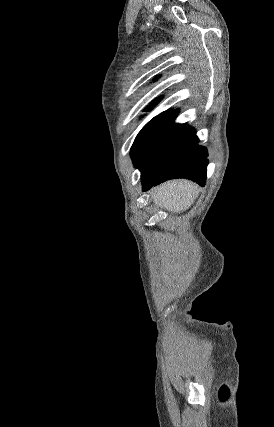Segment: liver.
Instances as JSON below:
<instances>
[{
  "label": "liver",
  "mask_w": 274,
  "mask_h": 427,
  "mask_svg": "<svg viewBox=\"0 0 274 427\" xmlns=\"http://www.w3.org/2000/svg\"><path fill=\"white\" fill-rule=\"evenodd\" d=\"M198 186L189 180H170L152 190L155 206H163L167 212L180 214L192 206L197 198Z\"/></svg>",
  "instance_id": "obj_1"
}]
</instances>
